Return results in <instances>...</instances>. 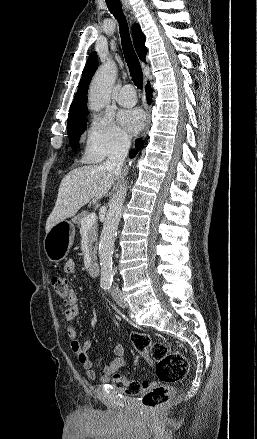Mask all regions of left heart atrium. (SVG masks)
<instances>
[{"label":"left heart atrium","instance_id":"39dd6f15","mask_svg":"<svg viewBox=\"0 0 257 439\" xmlns=\"http://www.w3.org/2000/svg\"><path fill=\"white\" fill-rule=\"evenodd\" d=\"M119 120L128 133L134 134L142 128L145 116L140 109L124 110L119 113Z\"/></svg>","mask_w":257,"mask_h":439}]
</instances>
